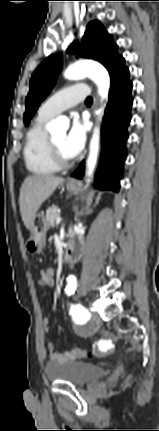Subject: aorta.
Returning a JSON list of instances; mask_svg holds the SVG:
<instances>
[{"instance_id":"762f6f07","label":"aorta","mask_w":159,"mask_h":431,"mask_svg":"<svg viewBox=\"0 0 159 431\" xmlns=\"http://www.w3.org/2000/svg\"><path fill=\"white\" fill-rule=\"evenodd\" d=\"M65 78L70 80H78L84 77L91 78L98 87V93L102 99L107 98L110 88V77L107 70L99 63L93 61H81L70 65L65 73ZM103 113V109L97 111V114ZM66 125L62 119H57L50 123L49 130L56 131L65 129ZM99 151V129L95 128L93 137L90 143V153L87 159V176H92Z\"/></svg>"}]
</instances>
